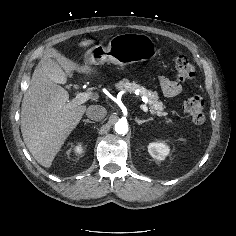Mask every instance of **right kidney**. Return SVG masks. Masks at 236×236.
<instances>
[{"label":"right kidney","instance_id":"ca27d5eb","mask_svg":"<svg viewBox=\"0 0 236 236\" xmlns=\"http://www.w3.org/2000/svg\"><path fill=\"white\" fill-rule=\"evenodd\" d=\"M73 150L76 154H81L83 152L82 146L80 144L75 146Z\"/></svg>","mask_w":236,"mask_h":236}]
</instances>
